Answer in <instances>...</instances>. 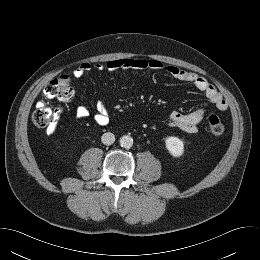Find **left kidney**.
<instances>
[{
	"label": "left kidney",
	"mask_w": 260,
	"mask_h": 260,
	"mask_svg": "<svg viewBox=\"0 0 260 260\" xmlns=\"http://www.w3.org/2000/svg\"><path fill=\"white\" fill-rule=\"evenodd\" d=\"M165 145L169 153L174 157H180L184 153V143L178 137H167L165 140Z\"/></svg>",
	"instance_id": "5707ae66"
}]
</instances>
